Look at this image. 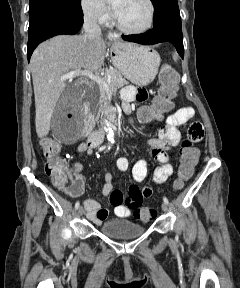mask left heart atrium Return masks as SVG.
<instances>
[{"label": "left heart atrium", "mask_w": 240, "mask_h": 288, "mask_svg": "<svg viewBox=\"0 0 240 288\" xmlns=\"http://www.w3.org/2000/svg\"><path fill=\"white\" fill-rule=\"evenodd\" d=\"M107 1L117 14L121 11L124 0H107Z\"/></svg>", "instance_id": "obj_1"}]
</instances>
